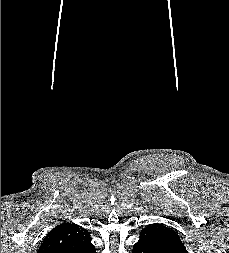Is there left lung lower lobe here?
Instances as JSON below:
<instances>
[{
  "instance_id": "1",
  "label": "left lung lower lobe",
  "mask_w": 229,
  "mask_h": 253,
  "mask_svg": "<svg viewBox=\"0 0 229 253\" xmlns=\"http://www.w3.org/2000/svg\"><path fill=\"white\" fill-rule=\"evenodd\" d=\"M132 253H187L184 245L138 240Z\"/></svg>"
}]
</instances>
